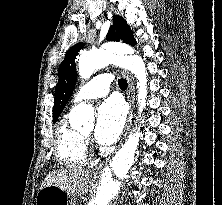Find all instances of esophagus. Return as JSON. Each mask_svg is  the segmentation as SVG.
Segmentation results:
<instances>
[{"mask_svg": "<svg viewBox=\"0 0 222 205\" xmlns=\"http://www.w3.org/2000/svg\"><path fill=\"white\" fill-rule=\"evenodd\" d=\"M122 75L126 78L128 82V89H127V99L130 105L129 114L127 118V123L124 129V138L127 136V133L130 129L132 123V116H133V109H134V84L131 76L125 70H121Z\"/></svg>", "mask_w": 222, "mask_h": 205, "instance_id": "1", "label": "esophagus"}]
</instances>
